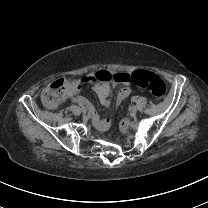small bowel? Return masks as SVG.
<instances>
[{"label": "small bowel", "instance_id": "1", "mask_svg": "<svg viewBox=\"0 0 208 208\" xmlns=\"http://www.w3.org/2000/svg\"><path fill=\"white\" fill-rule=\"evenodd\" d=\"M85 78H87V77H85ZM112 80H113V83H109L107 81L98 82L93 87L94 91L98 94L101 103L105 107H109L111 104L110 95H111L112 89L117 84L126 85L127 81H128V76L124 73H117V74H115V76ZM77 89H78L77 86H72V90L75 92V94L72 96V100H74L77 104L86 105L89 107V105L86 103V101L83 97H78L76 95ZM129 92H130L129 88L126 86H123L116 96L115 105L116 106L120 105L122 103V101L127 98V96L129 95ZM44 104H45V107L49 110H53L56 106L50 100L45 101ZM90 110L92 111L91 108H90ZM93 115L94 116L92 117V119H93L94 123L98 126L99 129L106 130L109 128L110 124H108L107 120H105L103 118V116H101L102 115L101 110H99V109L94 110Z\"/></svg>", "mask_w": 208, "mask_h": 208}]
</instances>
